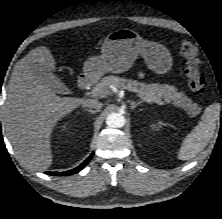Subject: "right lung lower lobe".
<instances>
[{
  "instance_id": "obj_1",
  "label": "right lung lower lobe",
  "mask_w": 222,
  "mask_h": 219,
  "mask_svg": "<svg viewBox=\"0 0 222 219\" xmlns=\"http://www.w3.org/2000/svg\"><path fill=\"white\" fill-rule=\"evenodd\" d=\"M92 155L93 154H91L82 164H80L78 167H76L73 170H69V171H66V172H46V174L56 175V176H65V175H72L74 173H77L86 166L88 161L92 158Z\"/></svg>"
}]
</instances>
